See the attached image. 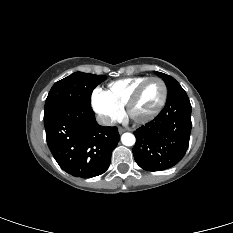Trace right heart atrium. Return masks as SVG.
<instances>
[{
    "label": "right heart atrium",
    "mask_w": 233,
    "mask_h": 233,
    "mask_svg": "<svg viewBox=\"0 0 233 233\" xmlns=\"http://www.w3.org/2000/svg\"><path fill=\"white\" fill-rule=\"evenodd\" d=\"M91 104L104 125H112L122 117L123 109L111 102L101 89L93 91Z\"/></svg>",
    "instance_id": "d8ad5b80"
}]
</instances>
